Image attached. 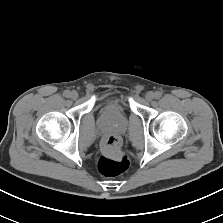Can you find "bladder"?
<instances>
[{"instance_id":"31cf9c89","label":"bladder","mask_w":223,"mask_h":223,"mask_svg":"<svg viewBox=\"0 0 223 223\" xmlns=\"http://www.w3.org/2000/svg\"><path fill=\"white\" fill-rule=\"evenodd\" d=\"M116 99H118L121 103H124V98L120 95L115 96Z\"/></svg>"}]
</instances>
